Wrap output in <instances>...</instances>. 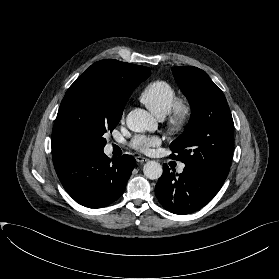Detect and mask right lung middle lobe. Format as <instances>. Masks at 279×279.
<instances>
[{
  "label": "right lung middle lobe",
  "instance_id": "right-lung-middle-lobe-1",
  "mask_svg": "<svg viewBox=\"0 0 279 279\" xmlns=\"http://www.w3.org/2000/svg\"><path fill=\"white\" fill-rule=\"evenodd\" d=\"M92 76L79 77L68 89L52 131V156L58 161L103 151L104 135L120 121L123 108L90 94ZM133 90L124 94L127 101Z\"/></svg>",
  "mask_w": 279,
  "mask_h": 279
}]
</instances>
